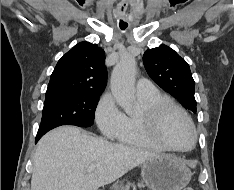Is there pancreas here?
<instances>
[{
  "instance_id": "pancreas-1",
  "label": "pancreas",
  "mask_w": 234,
  "mask_h": 190,
  "mask_svg": "<svg viewBox=\"0 0 234 190\" xmlns=\"http://www.w3.org/2000/svg\"><path fill=\"white\" fill-rule=\"evenodd\" d=\"M137 186H138L139 188L144 187L143 183H138ZM130 187H132L133 190L136 189V185H135L134 183H128V184H127L125 187H123L121 190H130Z\"/></svg>"
}]
</instances>
